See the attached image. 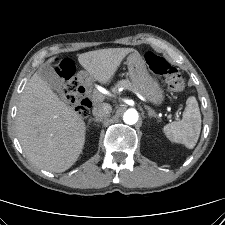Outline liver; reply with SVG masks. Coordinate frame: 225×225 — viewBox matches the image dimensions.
<instances>
[{
  "label": "liver",
  "mask_w": 225,
  "mask_h": 225,
  "mask_svg": "<svg viewBox=\"0 0 225 225\" xmlns=\"http://www.w3.org/2000/svg\"><path fill=\"white\" fill-rule=\"evenodd\" d=\"M133 48H108L82 53L81 66L102 84H109ZM54 58L48 60V64ZM16 129L24 154L37 167L64 172L77 161L84 144L86 126L36 72L25 86L18 105Z\"/></svg>",
  "instance_id": "6515ba94"
}]
</instances>
